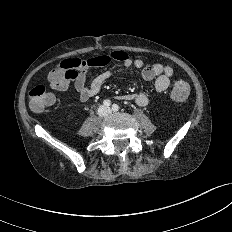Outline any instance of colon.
Returning <instances> with one entry per match:
<instances>
[{
	"label": "colon",
	"mask_w": 232,
	"mask_h": 232,
	"mask_svg": "<svg viewBox=\"0 0 232 232\" xmlns=\"http://www.w3.org/2000/svg\"><path fill=\"white\" fill-rule=\"evenodd\" d=\"M89 65L90 59L67 58L62 60L51 73L56 80H71ZM189 90L187 82L183 80L176 81L171 92V98L176 102H184L188 98ZM29 98L30 108L36 113L43 112L47 107L55 103L54 94L47 91L43 85L34 86L29 92Z\"/></svg>",
	"instance_id": "colon-1"
}]
</instances>
